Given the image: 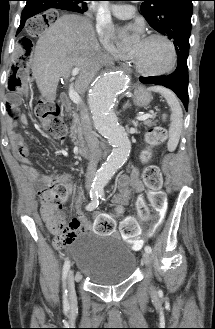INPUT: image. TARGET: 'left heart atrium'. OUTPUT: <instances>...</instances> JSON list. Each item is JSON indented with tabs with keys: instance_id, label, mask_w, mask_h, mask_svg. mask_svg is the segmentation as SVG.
Here are the masks:
<instances>
[{
	"instance_id": "1",
	"label": "left heart atrium",
	"mask_w": 215,
	"mask_h": 329,
	"mask_svg": "<svg viewBox=\"0 0 215 329\" xmlns=\"http://www.w3.org/2000/svg\"><path fill=\"white\" fill-rule=\"evenodd\" d=\"M131 30L137 31V32H142V26L140 24H135L130 27Z\"/></svg>"
}]
</instances>
